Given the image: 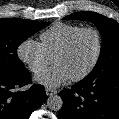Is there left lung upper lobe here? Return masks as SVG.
<instances>
[{
    "instance_id": "5c2ea615",
    "label": "left lung upper lobe",
    "mask_w": 119,
    "mask_h": 119,
    "mask_svg": "<svg viewBox=\"0 0 119 119\" xmlns=\"http://www.w3.org/2000/svg\"><path fill=\"white\" fill-rule=\"evenodd\" d=\"M64 19H80L94 23L102 36L98 62L86 78L110 77L119 74V24L95 12H78Z\"/></svg>"
}]
</instances>
